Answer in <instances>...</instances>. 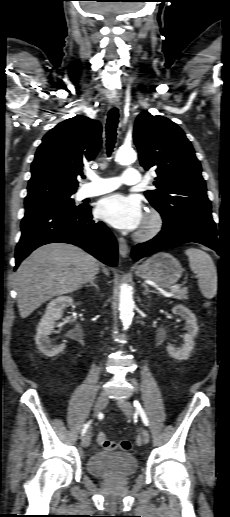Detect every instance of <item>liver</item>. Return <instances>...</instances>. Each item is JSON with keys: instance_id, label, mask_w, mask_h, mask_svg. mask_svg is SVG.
Here are the masks:
<instances>
[{"instance_id": "liver-1", "label": "liver", "mask_w": 230, "mask_h": 517, "mask_svg": "<svg viewBox=\"0 0 230 517\" xmlns=\"http://www.w3.org/2000/svg\"><path fill=\"white\" fill-rule=\"evenodd\" d=\"M99 268L96 258L71 244L51 243L37 248L15 274L20 316L26 318L51 298L79 289Z\"/></svg>"}]
</instances>
